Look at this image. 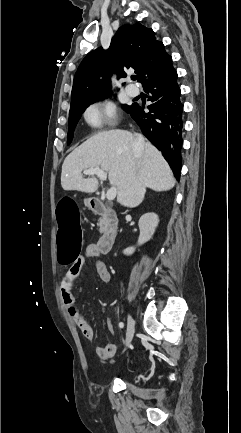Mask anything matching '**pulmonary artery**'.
I'll return each instance as SVG.
<instances>
[{"label":"pulmonary artery","mask_w":241,"mask_h":433,"mask_svg":"<svg viewBox=\"0 0 241 433\" xmlns=\"http://www.w3.org/2000/svg\"><path fill=\"white\" fill-rule=\"evenodd\" d=\"M126 91H127V93H128L129 95H131V96H136V95H138V93H139L138 88H137L136 86H133V85H128V86L126 87Z\"/></svg>","instance_id":"pulmonary-artery-1"}]
</instances>
